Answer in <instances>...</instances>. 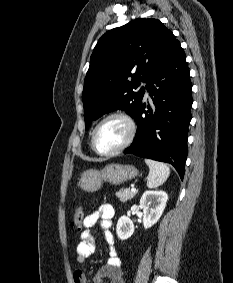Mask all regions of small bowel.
Here are the masks:
<instances>
[{
	"label": "small bowel",
	"mask_w": 233,
	"mask_h": 283,
	"mask_svg": "<svg viewBox=\"0 0 233 283\" xmlns=\"http://www.w3.org/2000/svg\"><path fill=\"white\" fill-rule=\"evenodd\" d=\"M114 208L110 204H101L95 211L88 214L84 220V231L76 248L77 261L83 263L95 249V237L91 232L92 227L100 221L103 229L104 240L109 248L107 264L101 267L96 276L95 283H103L108 279L110 283H125L121 269V259L115 248V239L111 232ZM74 283H86L85 274L77 270L73 274Z\"/></svg>",
	"instance_id": "1"
}]
</instances>
